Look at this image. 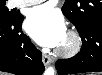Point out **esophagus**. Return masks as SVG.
<instances>
[{"instance_id": "1", "label": "esophagus", "mask_w": 102, "mask_h": 75, "mask_svg": "<svg viewBox=\"0 0 102 75\" xmlns=\"http://www.w3.org/2000/svg\"><path fill=\"white\" fill-rule=\"evenodd\" d=\"M42 60L45 66H48L53 62V58L48 54H43Z\"/></svg>"}]
</instances>
